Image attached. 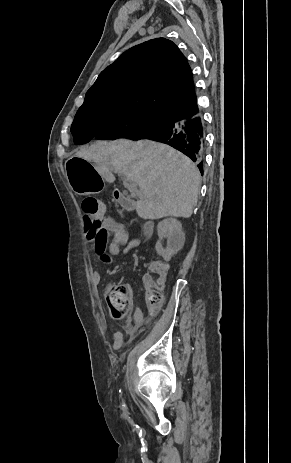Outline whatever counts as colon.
<instances>
[{"instance_id": "obj_1", "label": "colon", "mask_w": 291, "mask_h": 463, "mask_svg": "<svg viewBox=\"0 0 291 463\" xmlns=\"http://www.w3.org/2000/svg\"><path fill=\"white\" fill-rule=\"evenodd\" d=\"M105 205L94 197L85 198L82 211L85 216L84 229H97L101 226V219L105 214ZM167 268L161 263H152L148 275L146 303L150 314H154L164 301V284ZM106 300L112 316L121 320L128 316L131 296L129 290L122 285H111L106 292Z\"/></svg>"}]
</instances>
